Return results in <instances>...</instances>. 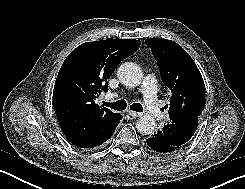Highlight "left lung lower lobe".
<instances>
[{"label":"left lung lower lobe","mask_w":245,"mask_h":189,"mask_svg":"<svg viewBox=\"0 0 245 189\" xmlns=\"http://www.w3.org/2000/svg\"><path fill=\"white\" fill-rule=\"evenodd\" d=\"M146 142L151 149L159 153H172L182 147V145L171 142L162 130L155 132Z\"/></svg>","instance_id":"obj_1"}]
</instances>
